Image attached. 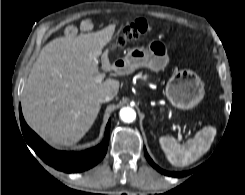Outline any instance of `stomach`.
Masks as SVG:
<instances>
[{
	"label": "stomach",
	"mask_w": 245,
	"mask_h": 195,
	"mask_svg": "<svg viewBox=\"0 0 245 195\" xmlns=\"http://www.w3.org/2000/svg\"><path fill=\"white\" fill-rule=\"evenodd\" d=\"M167 48L160 41L151 47H134L126 56L116 60L114 66L119 75H128L141 67L158 72L167 64ZM204 84L200 77L189 69H182L172 75L166 85L165 94L169 102L179 109H191L204 97Z\"/></svg>",
	"instance_id": "obj_1"
}]
</instances>
